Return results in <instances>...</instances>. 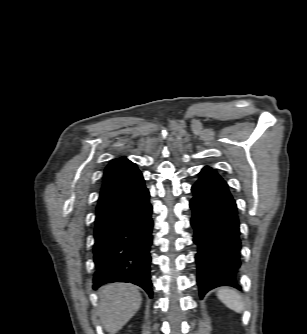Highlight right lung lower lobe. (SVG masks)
I'll return each mask as SVG.
<instances>
[{"mask_svg": "<svg viewBox=\"0 0 307 334\" xmlns=\"http://www.w3.org/2000/svg\"><path fill=\"white\" fill-rule=\"evenodd\" d=\"M152 206L142 174L98 201L93 247V287L130 282L152 297L149 254Z\"/></svg>", "mask_w": 307, "mask_h": 334, "instance_id": "right-lung-lower-lobe-1", "label": "right lung lower lobe"}]
</instances>
